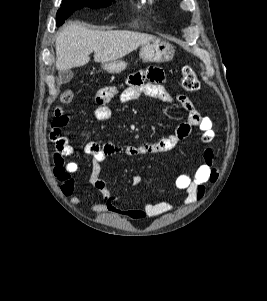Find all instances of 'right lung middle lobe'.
Here are the masks:
<instances>
[{"instance_id": "1", "label": "right lung middle lobe", "mask_w": 267, "mask_h": 301, "mask_svg": "<svg viewBox=\"0 0 267 301\" xmlns=\"http://www.w3.org/2000/svg\"><path fill=\"white\" fill-rule=\"evenodd\" d=\"M114 0H62L60 9L56 15V25L64 23L75 10L82 7L98 8L109 5Z\"/></svg>"}]
</instances>
